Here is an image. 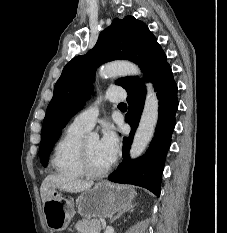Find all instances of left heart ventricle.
Wrapping results in <instances>:
<instances>
[{
	"label": "left heart ventricle",
	"instance_id": "left-heart-ventricle-1",
	"mask_svg": "<svg viewBox=\"0 0 227 233\" xmlns=\"http://www.w3.org/2000/svg\"><path fill=\"white\" fill-rule=\"evenodd\" d=\"M85 144L90 163L94 168L103 169L110 164V162L101 153L98 140H88Z\"/></svg>",
	"mask_w": 227,
	"mask_h": 233
}]
</instances>
